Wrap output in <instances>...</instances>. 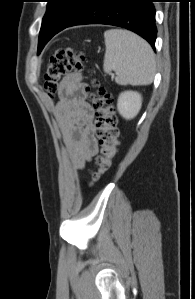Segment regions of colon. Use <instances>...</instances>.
<instances>
[{
    "instance_id": "obj_1",
    "label": "colon",
    "mask_w": 195,
    "mask_h": 299,
    "mask_svg": "<svg viewBox=\"0 0 195 299\" xmlns=\"http://www.w3.org/2000/svg\"><path fill=\"white\" fill-rule=\"evenodd\" d=\"M86 57L73 49L57 51L49 60L44 78V89L51 95L58 90L59 83L72 71L85 68ZM89 100L96 109V133L101 147L96 158V169L90 172L91 181H96L106 172L118 152V120L112 95L94 78L87 87Z\"/></svg>"
}]
</instances>
